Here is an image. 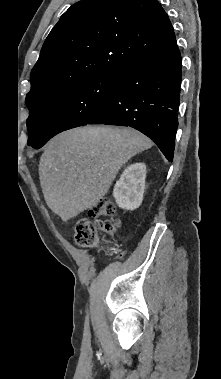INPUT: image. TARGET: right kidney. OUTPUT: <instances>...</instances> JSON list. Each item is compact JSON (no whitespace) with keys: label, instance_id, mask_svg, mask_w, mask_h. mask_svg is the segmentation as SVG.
Instances as JSON below:
<instances>
[{"label":"right kidney","instance_id":"obj_1","mask_svg":"<svg viewBox=\"0 0 221 379\" xmlns=\"http://www.w3.org/2000/svg\"><path fill=\"white\" fill-rule=\"evenodd\" d=\"M146 165L134 163L129 165L116 182L113 196L120 208L135 210L143 200L145 189Z\"/></svg>","mask_w":221,"mask_h":379}]
</instances>
